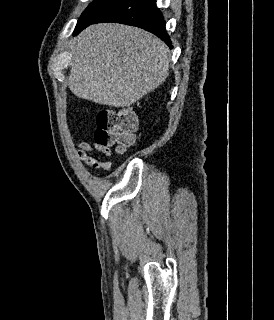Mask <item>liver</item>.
Returning a JSON list of instances; mask_svg holds the SVG:
<instances>
[{
    "instance_id": "1",
    "label": "liver",
    "mask_w": 274,
    "mask_h": 320,
    "mask_svg": "<svg viewBox=\"0 0 274 320\" xmlns=\"http://www.w3.org/2000/svg\"><path fill=\"white\" fill-rule=\"evenodd\" d=\"M68 86L83 100L125 108L169 76L170 50L159 38L122 24H94L75 38Z\"/></svg>"
}]
</instances>
